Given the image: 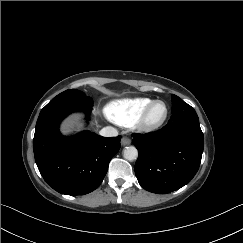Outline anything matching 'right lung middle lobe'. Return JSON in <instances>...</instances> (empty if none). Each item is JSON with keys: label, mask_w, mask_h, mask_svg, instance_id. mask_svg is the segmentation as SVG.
<instances>
[{"label": "right lung middle lobe", "mask_w": 243, "mask_h": 243, "mask_svg": "<svg viewBox=\"0 0 243 243\" xmlns=\"http://www.w3.org/2000/svg\"><path fill=\"white\" fill-rule=\"evenodd\" d=\"M56 104L91 108L92 100L90 97L86 96L83 92L79 90L71 89V90H66L60 93L59 95H57L44 108Z\"/></svg>", "instance_id": "obj_1"}]
</instances>
